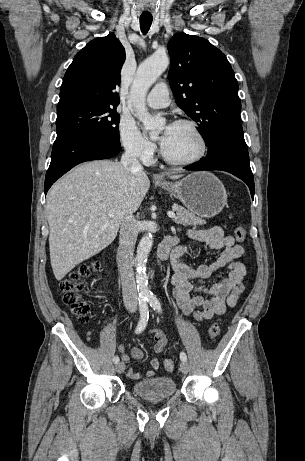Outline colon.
<instances>
[{
    "mask_svg": "<svg viewBox=\"0 0 305 461\" xmlns=\"http://www.w3.org/2000/svg\"><path fill=\"white\" fill-rule=\"evenodd\" d=\"M235 238L242 243L246 239L245 229L237 225L234 229ZM97 261L84 264L78 270L72 272L68 278L60 284L63 303L71 310L81 323H86L90 319V306L84 299L85 281L99 269ZM220 334V326L217 322L211 324L208 329V335L211 339H215ZM164 369L167 372H172L175 369V363L171 359H166L163 362Z\"/></svg>",
    "mask_w": 305,
    "mask_h": 461,
    "instance_id": "5ec220e1",
    "label": "colon"
}]
</instances>
